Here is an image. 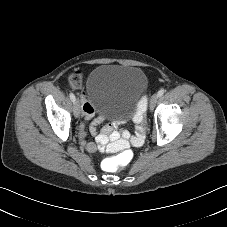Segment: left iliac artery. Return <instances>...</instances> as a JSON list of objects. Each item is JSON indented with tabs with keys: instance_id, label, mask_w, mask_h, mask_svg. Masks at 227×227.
Wrapping results in <instances>:
<instances>
[{
	"instance_id": "left-iliac-artery-1",
	"label": "left iliac artery",
	"mask_w": 227,
	"mask_h": 227,
	"mask_svg": "<svg viewBox=\"0 0 227 227\" xmlns=\"http://www.w3.org/2000/svg\"><path fill=\"white\" fill-rule=\"evenodd\" d=\"M165 90L164 89H161L159 92H158V96H162L164 94Z\"/></svg>"
}]
</instances>
